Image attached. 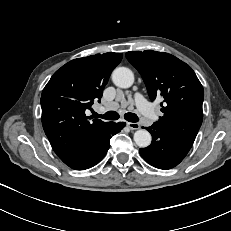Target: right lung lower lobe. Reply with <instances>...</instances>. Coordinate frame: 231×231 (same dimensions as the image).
<instances>
[{"instance_id": "obj_1", "label": "right lung lower lobe", "mask_w": 231, "mask_h": 231, "mask_svg": "<svg viewBox=\"0 0 231 231\" xmlns=\"http://www.w3.org/2000/svg\"><path fill=\"white\" fill-rule=\"evenodd\" d=\"M125 126L124 122L112 123L107 133L93 141L83 152L82 156L69 167L82 170L88 169L102 160L109 149V141L112 135L120 132Z\"/></svg>"}]
</instances>
